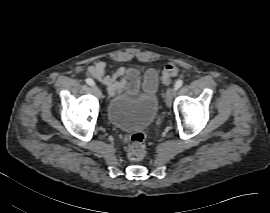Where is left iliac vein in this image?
Wrapping results in <instances>:
<instances>
[{"label":"left iliac vein","mask_w":270,"mask_h":213,"mask_svg":"<svg viewBox=\"0 0 270 213\" xmlns=\"http://www.w3.org/2000/svg\"><path fill=\"white\" fill-rule=\"evenodd\" d=\"M175 94H176L175 87H170V88L167 89L166 97H165V102H166L167 107H171L172 100H173Z\"/></svg>","instance_id":"1"}]
</instances>
